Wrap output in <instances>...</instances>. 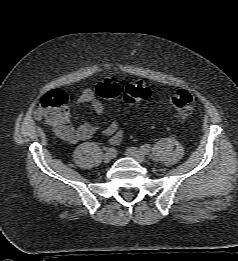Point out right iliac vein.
<instances>
[{"mask_svg": "<svg viewBox=\"0 0 238 261\" xmlns=\"http://www.w3.org/2000/svg\"><path fill=\"white\" fill-rule=\"evenodd\" d=\"M116 155V154H115ZM115 155L114 154H112V153H107V151H106V153L103 155V160H104V162L105 163H109L114 157H115Z\"/></svg>", "mask_w": 238, "mask_h": 261, "instance_id": "obj_1", "label": "right iliac vein"}]
</instances>
